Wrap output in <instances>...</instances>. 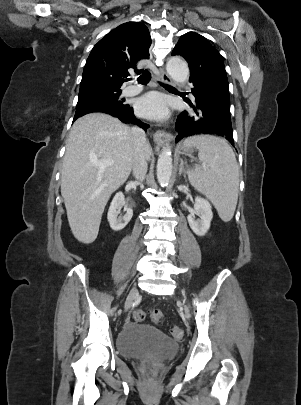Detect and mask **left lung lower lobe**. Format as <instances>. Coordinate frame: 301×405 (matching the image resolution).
Wrapping results in <instances>:
<instances>
[{
	"label": "left lung lower lobe",
	"mask_w": 301,
	"mask_h": 405,
	"mask_svg": "<svg viewBox=\"0 0 301 405\" xmlns=\"http://www.w3.org/2000/svg\"><path fill=\"white\" fill-rule=\"evenodd\" d=\"M192 94L195 96V113L182 112L176 122L178 135L176 142L184 137L210 134L224 137L234 146L230 119V102L213 96L198 83H193Z\"/></svg>",
	"instance_id": "obj_1"
}]
</instances>
